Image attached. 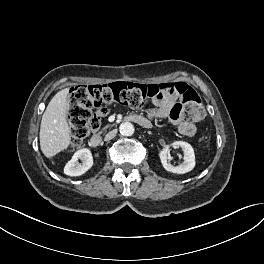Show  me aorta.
<instances>
[{
    "instance_id": "aorta-1",
    "label": "aorta",
    "mask_w": 264,
    "mask_h": 264,
    "mask_svg": "<svg viewBox=\"0 0 264 264\" xmlns=\"http://www.w3.org/2000/svg\"><path fill=\"white\" fill-rule=\"evenodd\" d=\"M120 133L124 136H132L134 134V126L130 122H124L119 127Z\"/></svg>"
}]
</instances>
